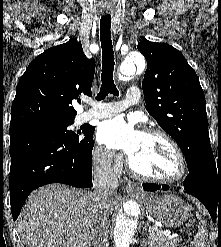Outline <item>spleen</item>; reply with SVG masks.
<instances>
[{"label": "spleen", "instance_id": "spleen-1", "mask_svg": "<svg viewBox=\"0 0 221 247\" xmlns=\"http://www.w3.org/2000/svg\"><path fill=\"white\" fill-rule=\"evenodd\" d=\"M197 218L201 219L199 215H197ZM194 247H209L206 224L203 221L199 222L198 232L194 238Z\"/></svg>", "mask_w": 221, "mask_h": 247}]
</instances>
